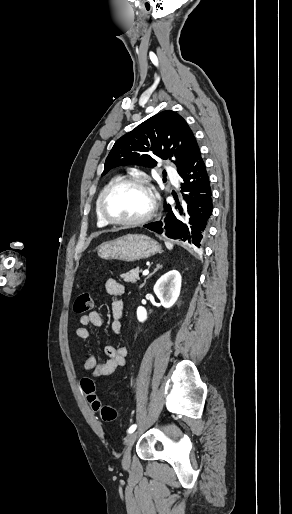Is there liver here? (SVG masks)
<instances>
[{
	"instance_id": "1",
	"label": "liver",
	"mask_w": 292,
	"mask_h": 514,
	"mask_svg": "<svg viewBox=\"0 0 292 514\" xmlns=\"http://www.w3.org/2000/svg\"><path fill=\"white\" fill-rule=\"evenodd\" d=\"M111 232H118V230H111Z\"/></svg>"
}]
</instances>
